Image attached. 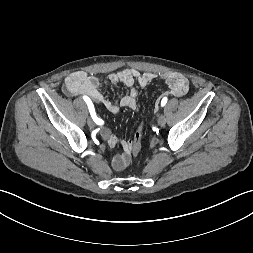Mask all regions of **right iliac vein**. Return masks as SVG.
<instances>
[{
	"label": "right iliac vein",
	"instance_id": "63e3f726",
	"mask_svg": "<svg viewBox=\"0 0 253 253\" xmlns=\"http://www.w3.org/2000/svg\"><path fill=\"white\" fill-rule=\"evenodd\" d=\"M87 123L89 127L93 128L95 126V122L92 118H88Z\"/></svg>",
	"mask_w": 253,
	"mask_h": 253
}]
</instances>
